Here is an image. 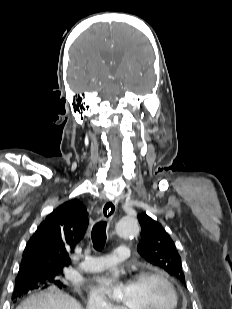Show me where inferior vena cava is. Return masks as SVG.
<instances>
[{
	"mask_svg": "<svg viewBox=\"0 0 232 309\" xmlns=\"http://www.w3.org/2000/svg\"><path fill=\"white\" fill-rule=\"evenodd\" d=\"M87 309H102V307L98 300H94L89 303Z\"/></svg>",
	"mask_w": 232,
	"mask_h": 309,
	"instance_id": "1",
	"label": "inferior vena cava"
}]
</instances>
